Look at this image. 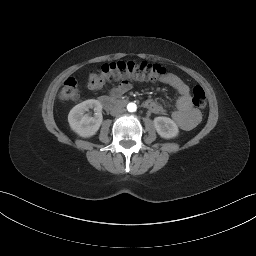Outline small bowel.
<instances>
[{
    "label": "small bowel",
    "mask_w": 256,
    "mask_h": 256,
    "mask_svg": "<svg viewBox=\"0 0 256 256\" xmlns=\"http://www.w3.org/2000/svg\"><path fill=\"white\" fill-rule=\"evenodd\" d=\"M163 82L174 88L179 97L176 102V110L172 113V119L182 130H191L198 125L201 120V113L194 108L189 86L177 75L167 74L162 78ZM133 84L130 80L124 79L117 86L109 91L112 97H120L130 91ZM144 107L153 113H162L163 107L155 100L148 99L144 102Z\"/></svg>",
    "instance_id": "1"
}]
</instances>
